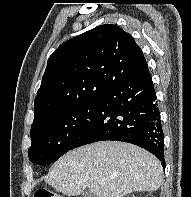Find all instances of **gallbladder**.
Wrapping results in <instances>:
<instances>
[{
	"label": "gallbladder",
	"instance_id": "obj_1",
	"mask_svg": "<svg viewBox=\"0 0 191 197\" xmlns=\"http://www.w3.org/2000/svg\"><path fill=\"white\" fill-rule=\"evenodd\" d=\"M82 197H97V196L94 195L93 193L87 191V192L83 193Z\"/></svg>",
	"mask_w": 191,
	"mask_h": 197
}]
</instances>
